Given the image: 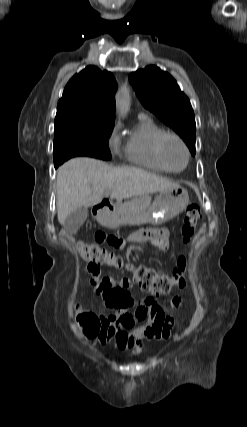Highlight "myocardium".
Returning <instances> with one entry per match:
<instances>
[{
    "label": "myocardium",
    "instance_id": "obj_1",
    "mask_svg": "<svg viewBox=\"0 0 247 427\" xmlns=\"http://www.w3.org/2000/svg\"><path fill=\"white\" fill-rule=\"evenodd\" d=\"M168 140H175V141H177L182 146V148L185 151V155H186L185 164L180 169L173 168L169 164V162H168V160L166 158V155H165V145H166V142ZM156 152H157V156H158L159 160L161 161V163L169 171H171V172H181V171H183L187 167V165L189 163V160H190V151H189V148H188L187 144L185 143V141L178 134L172 133V132H164L158 138V140L156 142Z\"/></svg>",
    "mask_w": 247,
    "mask_h": 427
}]
</instances>
